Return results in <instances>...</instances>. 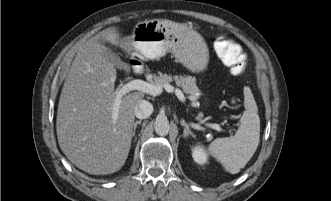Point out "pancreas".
Masks as SVG:
<instances>
[{
  "instance_id": "1",
  "label": "pancreas",
  "mask_w": 331,
  "mask_h": 201,
  "mask_svg": "<svg viewBox=\"0 0 331 201\" xmlns=\"http://www.w3.org/2000/svg\"><path fill=\"white\" fill-rule=\"evenodd\" d=\"M175 81L176 85L180 86L183 91L196 98V93L199 92V89L196 85V80L191 76H172L168 74L160 73L158 76H155L152 84L164 86L170 82Z\"/></svg>"
}]
</instances>
